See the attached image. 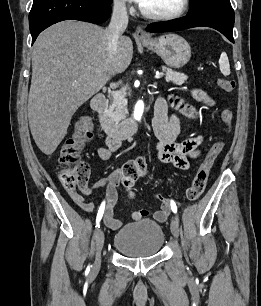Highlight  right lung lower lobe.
I'll use <instances>...</instances> for the list:
<instances>
[{
    "mask_svg": "<svg viewBox=\"0 0 261 306\" xmlns=\"http://www.w3.org/2000/svg\"><path fill=\"white\" fill-rule=\"evenodd\" d=\"M110 12V4L99 0H33L29 14L32 44L52 24L71 19L100 24L108 19Z\"/></svg>",
    "mask_w": 261,
    "mask_h": 306,
    "instance_id": "98d812e1",
    "label": "right lung lower lobe"
}]
</instances>
